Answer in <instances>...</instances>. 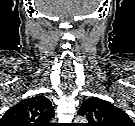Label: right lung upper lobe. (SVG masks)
<instances>
[{"label": "right lung upper lobe", "mask_w": 135, "mask_h": 126, "mask_svg": "<svg viewBox=\"0 0 135 126\" xmlns=\"http://www.w3.org/2000/svg\"><path fill=\"white\" fill-rule=\"evenodd\" d=\"M54 116L50 100L42 95L17 103L0 119V126H47Z\"/></svg>", "instance_id": "cb5924a9"}]
</instances>
